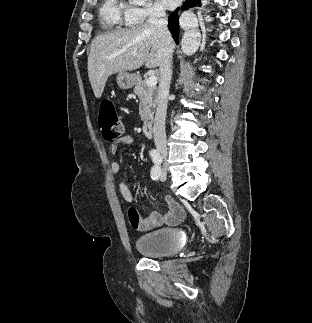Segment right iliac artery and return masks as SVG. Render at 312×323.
Masks as SVG:
<instances>
[{
    "label": "right iliac artery",
    "mask_w": 312,
    "mask_h": 323,
    "mask_svg": "<svg viewBox=\"0 0 312 323\" xmlns=\"http://www.w3.org/2000/svg\"><path fill=\"white\" fill-rule=\"evenodd\" d=\"M154 163H155V166L160 168L161 166V163H162V159L161 158H154ZM161 169V168H160Z\"/></svg>",
    "instance_id": "right-iliac-artery-1"
}]
</instances>
